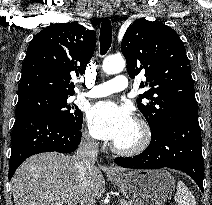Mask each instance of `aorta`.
Wrapping results in <instances>:
<instances>
[{
  "mask_svg": "<svg viewBox=\"0 0 212 205\" xmlns=\"http://www.w3.org/2000/svg\"><path fill=\"white\" fill-rule=\"evenodd\" d=\"M125 67V60L121 56H108L102 63L104 73L112 75L120 73Z\"/></svg>",
  "mask_w": 212,
  "mask_h": 205,
  "instance_id": "aorta-1",
  "label": "aorta"
}]
</instances>
